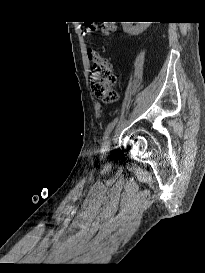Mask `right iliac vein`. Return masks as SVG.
<instances>
[{
	"label": "right iliac vein",
	"instance_id": "right-iliac-vein-1",
	"mask_svg": "<svg viewBox=\"0 0 205 273\" xmlns=\"http://www.w3.org/2000/svg\"><path fill=\"white\" fill-rule=\"evenodd\" d=\"M110 144H111V139H108V140L105 142V145H104L105 150H109Z\"/></svg>",
	"mask_w": 205,
	"mask_h": 273
}]
</instances>
